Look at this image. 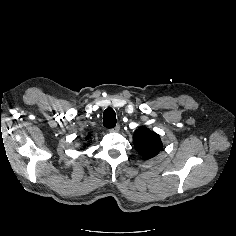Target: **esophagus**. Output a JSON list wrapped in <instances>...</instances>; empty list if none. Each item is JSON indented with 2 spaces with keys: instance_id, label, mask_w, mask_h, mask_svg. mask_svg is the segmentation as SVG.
I'll return each mask as SVG.
<instances>
[{
  "instance_id": "esophagus-1",
  "label": "esophagus",
  "mask_w": 236,
  "mask_h": 236,
  "mask_svg": "<svg viewBox=\"0 0 236 236\" xmlns=\"http://www.w3.org/2000/svg\"><path fill=\"white\" fill-rule=\"evenodd\" d=\"M120 130V125L117 124L114 128L111 129L113 132H118Z\"/></svg>"
}]
</instances>
